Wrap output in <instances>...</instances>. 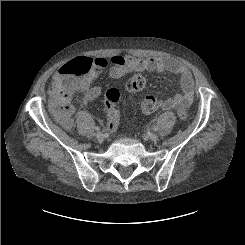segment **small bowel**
Segmentation results:
<instances>
[{"label": "small bowel", "mask_w": 245, "mask_h": 245, "mask_svg": "<svg viewBox=\"0 0 245 245\" xmlns=\"http://www.w3.org/2000/svg\"><path fill=\"white\" fill-rule=\"evenodd\" d=\"M97 65L105 70L109 64L104 59H95ZM110 74L114 78H120L128 72L139 71H158L170 72L179 75L182 92L173 97L158 100V109L171 110L176 107H187L193 102L194 98V81L189 70L175 60L165 57H149L135 58L129 55L116 54L110 58ZM63 67V66H62ZM62 67H60L53 76V80H57L61 76ZM83 95L85 103L91 102L101 95L102 89L100 86H90L88 83L85 87L79 90ZM115 116L118 119V111H115Z\"/></svg>", "instance_id": "small-bowel-1"}]
</instances>
